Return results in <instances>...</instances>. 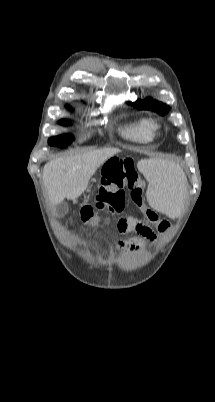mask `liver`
Instances as JSON below:
<instances>
[{"label": "liver", "mask_w": 215, "mask_h": 402, "mask_svg": "<svg viewBox=\"0 0 215 402\" xmlns=\"http://www.w3.org/2000/svg\"><path fill=\"white\" fill-rule=\"evenodd\" d=\"M118 152L120 150L116 148H104L59 157L46 163L43 182L49 201L58 204L65 198L76 200L87 189L96 170Z\"/></svg>", "instance_id": "6515ba94"}]
</instances>
